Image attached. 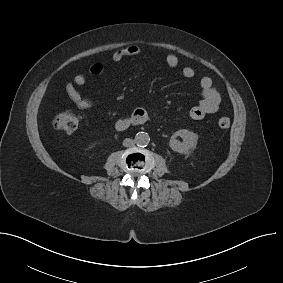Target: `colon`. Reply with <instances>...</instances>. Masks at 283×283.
Here are the masks:
<instances>
[{
  "mask_svg": "<svg viewBox=\"0 0 283 283\" xmlns=\"http://www.w3.org/2000/svg\"><path fill=\"white\" fill-rule=\"evenodd\" d=\"M80 117L73 111H63L56 114L53 118V126L56 130L71 134L75 132L79 126ZM231 125V119L227 116H222L218 119V126L221 129H227Z\"/></svg>",
  "mask_w": 283,
  "mask_h": 283,
  "instance_id": "1",
  "label": "colon"
}]
</instances>
